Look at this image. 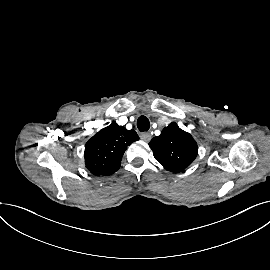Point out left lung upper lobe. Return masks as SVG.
Here are the masks:
<instances>
[{
  "instance_id": "1",
  "label": "left lung upper lobe",
  "mask_w": 270,
  "mask_h": 270,
  "mask_svg": "<svg viewBox=\"0 0 270 270\" xmlns=\"http://www.w3.org/2000/svg\"><path fill=\"white\" fill-rule=\"evenodd\" d=\"M155 159L166 169L178 173L187 168L198 154L193 137L176 123L165 127L150 143Z\"/></svg>"
}]
</instances>
